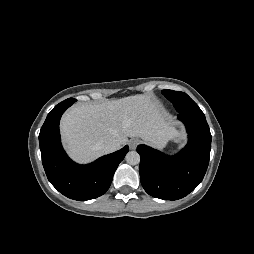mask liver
<instances>
[{"label": "liver", "instance_id": "6515ba94", "mask_svg": "<svg viewBox=\"0 0 254 254\" xmlns=\"http://www.w3.org/2000/svg\"><path fill=\"white\" fill-rule=\"evenodd\" d=\"M61 132L68 154L81 163L104 155L110 141L122 146L127 137H140L163 145L176 134L159 101L149 94L76 104L62 117Z\"/></svg>", "mask_w": 254, "mask_h": 254}]
</instances>
